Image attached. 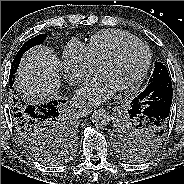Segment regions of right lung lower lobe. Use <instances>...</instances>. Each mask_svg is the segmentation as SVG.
Masks as SVG:
<instances>
[{
    "label": "right lung lower lobe",
    "instance_id": "1",
    "mask_svg": "<svg viewBox=\"0 0 184 184\" xmlns=\"http://www.w3.org/2000/svg\"><path fill=\"white\" fill-rule=\"evenodd\" d=\"M64 102H66V100L51 101L48 104H44V105L28 104L26 107V110H28V112L26 114L22 116L15 115L16 123H19L21 121L26 125L25 130L28 129V131L34 132L36 128L35 126H37L38 120H40L42 117H45L47 114H49L52 111L60 110V105Z\"/></svg>",
    "mask_w": 184,
    "mask_h": 184
}]
</instances>
